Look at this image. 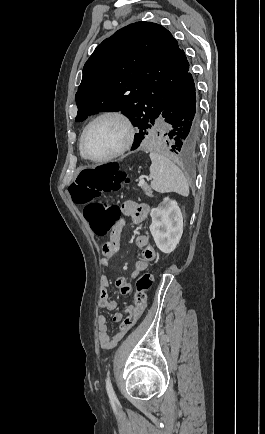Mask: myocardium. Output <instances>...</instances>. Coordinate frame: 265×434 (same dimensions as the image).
I'll return each mask as SVG.
<instances>
[{
	"label": "myocardium",
	"instance_id": "f54148a6",
	"mask_svg": "<svg viewBox=\"0 0 265 434\" xmlns=\"http://www.w3.org/2000/svg\"><path fill=\"white\" fill-rule=\"evenodd\" d=\"M105 118H115L120 120L124 126H125V140L122 144V146L120 148H118L115 152H113L112 154H110L109 156H106L104 158H100V159H94L91 158L89 156H87L84 152V140L89 132V130L100 120L105 119ZM135 135H136V129L134 126L133 121L131 120V118L124 113L121 110H106L103 111L101 113H99L98 115H96L94 118H92L91 121H89V123L85 126L80 139H79V153L80 156L87 162L89 163H93V164H103V163H107L109 161H112L120 156H122L124 153H126L133 145L134 140H135Z\"/></svg>",
	"mask_w": 265,
	"mask_h": 434
}]
</instances>
